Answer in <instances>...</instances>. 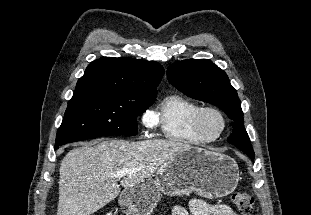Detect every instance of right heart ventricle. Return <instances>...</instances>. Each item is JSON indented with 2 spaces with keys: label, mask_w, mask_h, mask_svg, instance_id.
Listing matches in <instances>:
<instances>
[{
  "label": "right heart ventricle",
  "mask_w": 311,
  "mask_h": 215,
  "mask_svg": "<svg viewBox=\"0 0 311 215\" xmlns=\"http://www.w3.org/2000/svg\"><path fill=\"white\" fill-rule=\"evenodd\" d=\"M201 106L196 102L178 95L166 96L153 115L162 135L171 141L199 145L209 141L201 138L192 127V119Z\"/></svg>",
  "instance_id": "e07e8e85"
}]
</instances>
